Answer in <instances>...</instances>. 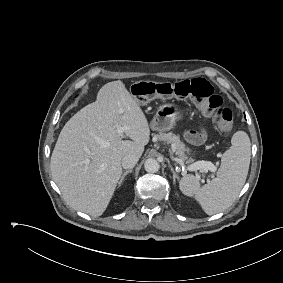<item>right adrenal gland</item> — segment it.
I'll list each match as a JSON object with an SVG mask.
<instances>
[{
	"instance_id": "1",
	"label": "right adrenal gland",
	"mask_w": 283,
	"mask_h": 283,
	"mask_svg": "<svg viewBox=\"0 0 283 283\" xmlns=\"http://www.w3.org/2000/svg\"><path fill=\"white\" fill-rule=\"evenodd\" d=\"M131 172H132V169L126 170V171L123 173V175H122L120 181L118 182V184L121 185L122 182H123V180H124V178H125V176H126L128 173H131Z\"/></svg>"
}]
</instances>
